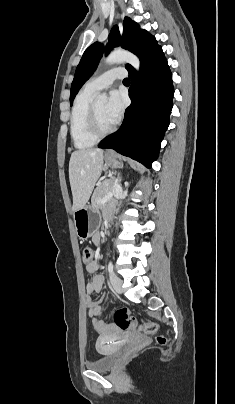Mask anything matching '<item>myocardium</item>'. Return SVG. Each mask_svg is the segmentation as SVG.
I'll return each instance as SVG.
<instances>
[{
    "label": "myocardium",
    "mask_w": 235,
    "mask_h": 404,
    "mask_svg": "<svg viewBox=\"0 0 235 404\" xmlns=\"http://www.w3.org/2000/svg\"><path fill=\"white\" fill-rule=\"evenodd\" d=\"M88 129H89L90 135L94 139L100 140V139L108 136L109 134H111L115 129V125L112 124V126H110L109 128L102 130L99 125V121L97 118V114H96L94 105H91L90 109H89Z\"/></svg>",
    "instance_id": "myocardium-1"
}]
</instances>
